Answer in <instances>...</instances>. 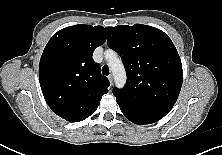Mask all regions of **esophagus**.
<instances>
[{
  "mask_svg": "<svg viewBox=\"0 0 222 155\" xmlns=\"http://www.w3.org/2000/svg\"><path fill=\"white\" fill-rule=\"evenodd\" d=\"M108 80H109L110 84L112 85V84H113V76H112V75H109V76H108Z\"/></svg>",
  "mask_w": 222,
  "mask_h": 155,
  "instance_id": "1",
  "label": "esophagus"
}]
</instances>
